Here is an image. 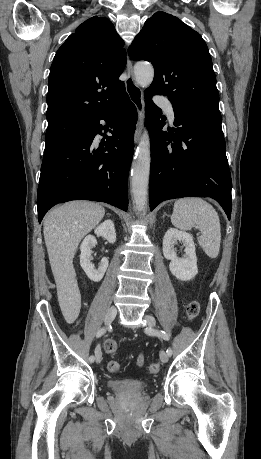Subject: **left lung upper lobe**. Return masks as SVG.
Wrapping results in <instances>:
<instances>
[{"instance_id":"5c2ea615","label":"left lung upper lobe","mask_w":261,"mask_h":459,"mask_svg":"<svg viewBox=\"0 0 261 459\" xmlns=\"http://www.w3.org/2000/svg\"><path fill=\"white\" fill-rule=\"evenodd\" d=\"M133 60L152 62L147 89L165 95L181 112L221 116L212 60L202 37L177 17L156 12L146 20L128 50Z\"/></svg>"}]
</instances>
